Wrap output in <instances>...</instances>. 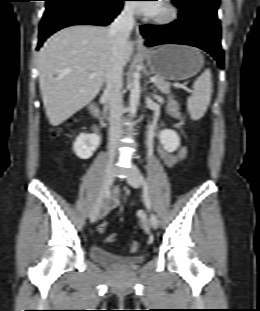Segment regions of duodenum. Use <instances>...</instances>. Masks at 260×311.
Segmentation results:
<instances>
[{"label":"duodenum","instance_id":"obj_1","mask_svg":"<svg viewBox=\"0 0 260 311\" xmlns=\"http://www.w3.org/2000/svg\"><path fill=\"white\" fill-rule=\"evenodd\" d=\"M88 109L89 112L96 118H102L103 116V112L102 109L100 107V104L97 100H92L89 104H88Z\"/></svg>","mask_w":260,"mask_h":311}]
</instances>
